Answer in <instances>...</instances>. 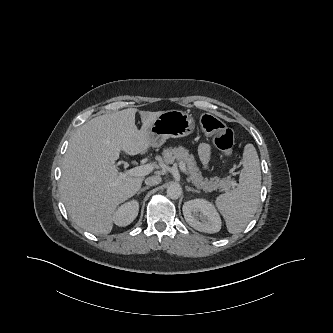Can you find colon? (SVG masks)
I'll use <instances>...</instances> for the list:
<instances>
[{
    "mask_svg": "<svg viewBox=\"0 0 333 333\" xmlns=\"http://www.w3.org/2000/svg\"><path fill=\"white\" fill-rule=\"evenodd\" d=\"M200 124L205 132L212 134L215 146L224 154L229 155L234 148V133L227 128L219 119L204 114L200 117Z\"/></svg>",
    "mask_w": 333,
    "mask_h": 333,
    "instance_id": "1",
    "label": "colon"
}]
</instances>
